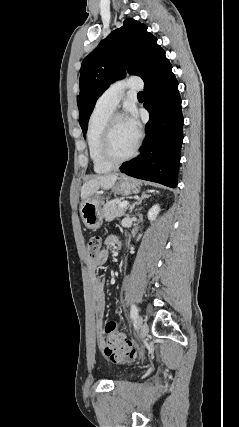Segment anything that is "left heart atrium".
<instances>
[{
  "mask_svg": "<svg viewBox=\"0 0 239 427\" xmlns=\"http://www.w3.org/2000/svg\"><path fill=\"white\" fill-rule=\"evenodd\" d=\"M125 124L130 132L136 137L139 134V123L134 112H129L124 118Z\"/></svg>",
  "mask_w": 239,
  "mask_h": 427,
  "instance_id": "39dd6f15",
  "label": "left heart atrium"
}]
</instances>
